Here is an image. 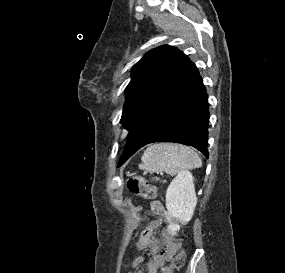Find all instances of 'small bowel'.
I'll return each mask as SVG.
<instances>
[{
	"instance_id": "obj_1",
	"label": "small bowel",
	"mask_w": 285,
	"mask_h": 273,
	"mask_svg": "<svg viewBox=\"0 0 285 273\" xmlns=\"http://www.w3.org/2000/svg\"><path fill=\"white\" fill-rule=\"evenodd\" d=\"M149 209L153 215L159 216L160 218L153 220L145 227L146 231L141 232L137 239L136 246L140 250L150 249L152 258L146 263V273H157L158 269L175 253L178 248V242L166 236L164 243L161 245L160 242L154 238L155 230L163 224L165 208L160 201H152L150 202ZM141 262L142 259L137 258L133 262V265L137 266ZM136 273H143V271L138 270Z\"/></svg>"
}]
</instances>
